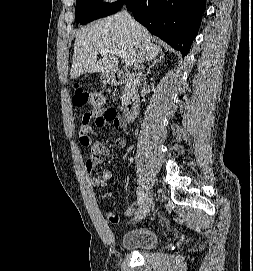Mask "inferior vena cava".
<instances>
[{"mask_svg":"<svg viewBox=\"0 0 253 271\" xmlns=\"http://www.w3.org/2000/svg\"><path fill=\"white\" fill-rule=\"evenodd\" d=\"M123 15L130 21L132 27H136L137 26L136 22L132 19V17L130 16V14L126 10L123 11ZM142 76H143L142 72H140L139 73V77L141 78Z\"/></svg>","mask_w":253,"mask_h":271,"instance_id":"1","label":"inferior vena cava"}]
</instances>
